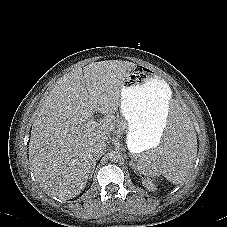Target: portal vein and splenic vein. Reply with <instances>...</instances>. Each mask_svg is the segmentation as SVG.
<instances>
[{"label":"portal vein and splenic vein","mask_w":227,"mask_h":227,"mask_svg":"<svg viewBox=\"0 0 227 227\" xmlns=\"http://www.w3.org/2000/svg\"><path fill=\"white\" fill-rule=\"evenodd\" d=\"M95 127H96V122H95L93 119L89 120V121L85 124V128H86L87 130L94 129Z\"/></svg>","instance_id":"obj_1"}]
</instances>
